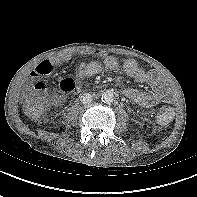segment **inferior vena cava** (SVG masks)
Masks as SVG:
<instances>
[{
    "mask_svg": "<svg viewBox=\"0 0 197 197\" xmlns=\"http://www.w3.org/2000/svg\"><path fill=\"white\" fill-rule=\"evenodd\" d=\"M80 101L83 104H89L92 102V95L89 93H84L80 96Z\"/></svg>",
    "mask_w": 197,
    "mask_h": 197,
    "instance_id": "inferior-vena-cava-1",
    "label": "inferior vena cava"
}]
</instances>
